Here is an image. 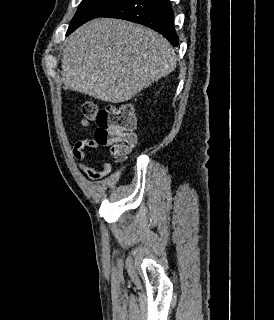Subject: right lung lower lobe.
<instances>
[{"instance_id":"right-lung-lower-lobe-1","label":"right lung lower lobe","mask_w":274,"mask_h":320,"mask_svg":"<svg viewBox=\"0 0 274 320\" xmlns=\"http://www.w3.org/2000/svg\"><path fill=\"white\" fill-rule=\"evenodd\" d=\"M98 17L119 18L145 25L162 34L174 47L178 46L170 0H120Z\"/></svg>"}]
</instances>
